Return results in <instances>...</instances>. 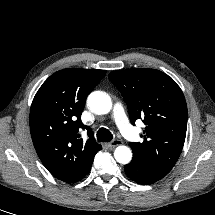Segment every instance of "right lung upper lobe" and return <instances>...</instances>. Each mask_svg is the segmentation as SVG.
<instances>
[{
	"instance_id": "cb5924a9",
	"label": "right lung upper lobe",
	"mask_w": 215,
	"mask_h": 215,
	"mask_svg": "<svg viewBox=\"0 0 215 215\" xmlns=\"http://www.w3.org/2000/svg\"><path fill=\"white\" fill-rule=\"evenodd\" d=\"M106 70L63 69L52 74L36 93L30 109V132L36 152L56 178L75 183L89 173L101 146L81 122L88 94ZM89 139L83 141L80 129Z\"/></svg>"
}]
</instances>
